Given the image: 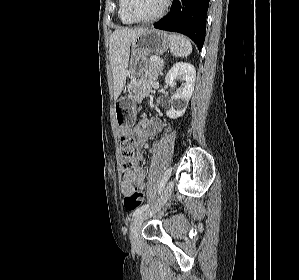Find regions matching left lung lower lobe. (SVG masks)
Returning a JSON list of instances; mask_svg holds the SVG:
<instances>
[{
  "label": "left lung lower lobe",
  "instance_id": "left-lung-lower-lobe-1",
  "mask_svg": "<svg viewBox=\"0 0 299 280\" xmlns=\"http://www.w3.org/2000/svg\"><path fill=\"white\" fill-rule=\"evenodd\" d=\"M209 0H173L170 12L154 28L185 34L203 47Z\"/></svg>",
  "mask_w": 299,
  "mask_h": 280
}]
</instances>
